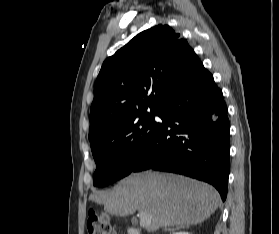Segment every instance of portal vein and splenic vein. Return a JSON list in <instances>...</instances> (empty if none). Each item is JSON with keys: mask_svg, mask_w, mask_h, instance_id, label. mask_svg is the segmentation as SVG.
<instances>
[{"mask_svg": "<svg viewBox=\"0 0 279 234\" xmlns=\"http://www.w3.org/2000/svg\"><path fill=\"white\" fill-rule=\"evenodd\" d=\"M140 216V226L141 227H148L150 224V219L145 213H139Z\"/></svg>", "mask_w": 279, "mask_h": 234, "instance_id": "18ae733b", "label": "portal vein and splenic vein"}]
</instances>
